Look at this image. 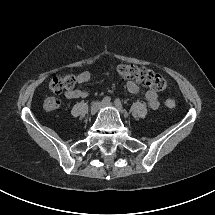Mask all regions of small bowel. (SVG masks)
<instances>
[{"label":"small bowel","instance_id":"small-bowel-1","mask_svg":"<svg viewBox=\"0 0 215 215\" xmlns=\"http://www.w3.org/2000/svg\"><path fill=\"white\" fill-rule=\"evenodd\" d=\"M91 79V73L89 71H82L77 75V81L80 85L89 82ZM127 90L135 94L139 91V86L134 80H129L127 82ZM88 96L87 91L81 89H72L65 92V97L67 99H77V98H86ZM145 98L151 109H157L159 107V101L157 93L153 90H148L145 93Z\"/></svg>","mask_w":215,"mask_h":215}]
</instances>
